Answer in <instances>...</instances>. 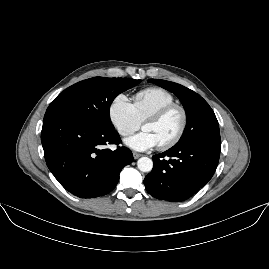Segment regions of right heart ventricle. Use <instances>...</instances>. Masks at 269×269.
<instances>
[{"label":"right heart ventricle","instance_id":"obj_1","mask_svg":"<svg viewBox=\"0 0 269 269\" xmlns=\"http://www.w3.org/2000/svg\"><path fill=\"white\" fill-rule=\"evenodd\" d=\"M171 103H175L174 96L165 89L155 87L135 94L132 107L138 119L144 121L150 112Z\"/></svg>","mask_w":269,"mask_h":269}]
</instances>
